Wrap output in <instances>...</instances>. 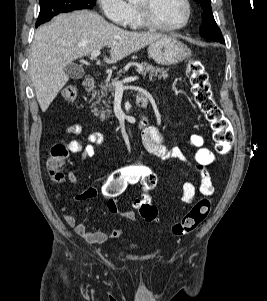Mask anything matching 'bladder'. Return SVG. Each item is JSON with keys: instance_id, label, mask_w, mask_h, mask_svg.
Masks as SVG:
<instances>
[{"instance_id": "31cf9c89", "label": "bladder", "mask_w": 267, "mask_h": 301, "mask_svg": "<svg viewBox=\"0 0 267 301\" xmlns=\"http://www.w3.org/2000/svg\"><path fill=\"white\" fill-rule=\"evenodd\" d=\"M132 239V241H134L136 238L135 237H133V238H131Z\"/></svg>"}]
</instances>
